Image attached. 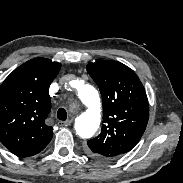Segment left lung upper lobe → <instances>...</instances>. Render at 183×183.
I'll return each mask as SVG.
<instances>
[{"label":"left lung upper lobe","instance_id":"obj_1","mask_svg":"<svg viewBox=\"0 0 183 183\" xmlns=\"http://www.w3.org/2000/svg\"><path fill=\"white\" fill-rule=\"evenodd\" d=\"M102 95L101 133L87 142V151L103 160L130 151L141 139L149 117L145 89L133 70L112 60L87 65Z\"/></svg>","mask_w":183,"mask_h":183}]
</instances>
